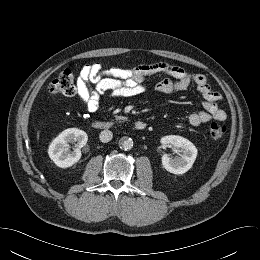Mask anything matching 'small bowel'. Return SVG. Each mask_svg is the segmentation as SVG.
<instances>
[{
	"instance_id": "c3829d8e",
	"label": "small bowel",
	"mask_w": 260,
	"mask_h": 260,
	"mask_svg": "<svg viewBox=\"0 0 260 260\" xmlns=\"http://www.w3.org/2000/svg\"><path fill=\"white\" fill-rule=\"evenodd\" d=\"M155 74H166V78L154 86L159 94H170L187 90L192 84L204 98V110L189 115V123L199 126L210 120L224 121L225 111L219 107L221 95L208 84L201 73H190L181 66L158 62L140 65L133 69L111 68L104 70L101 63L85 65L77 77V94L90 114L98 112L101 98L108 93L111 98L135 97L146 91L145 80Z\"/></svg>"
}]
</instances>
